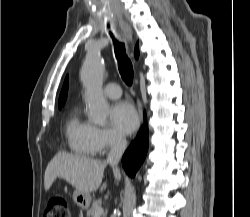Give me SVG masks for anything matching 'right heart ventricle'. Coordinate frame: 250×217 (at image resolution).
I'll return each instance as SVG.
<instances>
[{
  "label": "right heart ventricle",
  "mask_w": 250,
  "mask_h": 217,
  "mask_svg": "<svg viewBox=\"0 0 250 217\" xmlns=\"http://www.w3.org/2000/svg\"><path fill=\"white\" fill-rule=\"evenodd\" d=\"M94 126L85 121L78 108H73L65 122V137L69 149L81 156L94 155L92 135Z\"/></svg>",
  "instance_id": "right-heart-ventricle-1"
}]
</instances>
